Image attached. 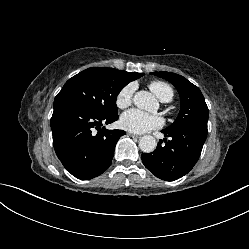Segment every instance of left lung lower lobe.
Masks as SVG:
<instances>
[{"label": "left lung lower lobe", "instance_id": "left-lung-lower-lobe-1", "mask_svg": "<svg viewBox=\"0 0 249 249\" xmlns=\"http://www.w3.org/2000/svg\"><path fill=\"white\" fill-rule=\"evenodd\" d=\"M165 145L158 143L151 153H143L144 166L156 177L173 181L186 175L200 157L207 137V123L197 122L174 131H164Z\"/></svg>", "mask_w": 249, "mask_h": 249}]
</instances>
